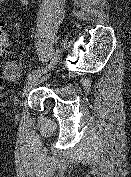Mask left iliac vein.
Returning <instances> with one entry per match:
<instances>
[{
  "mask_svg": "<svg viewBox=\"0 0 131 177\" xmlns=\"http://www.w3.org/2000/svg\"><path fill=\"white\" fill-rule=\"evenodd\" d=\"M59 58V50H57L56 55L53 57L51 61V65L48 66L49 72H42L41 74H37L33 76L31 79H28L26 82L23 91H22V96H25L31 88L39 84L41 81L47 79L51 75V71L53 70L54 65L58 61Z\"/></svg>",
  "mask_w": 131,
  "mask_h": 177,
  "instance_id": "obj_1",
  "label": "left iliac vein"
}]
</instances>
